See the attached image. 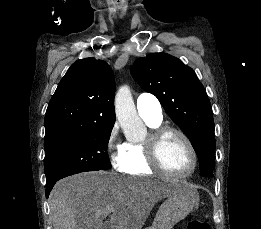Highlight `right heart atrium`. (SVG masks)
Masks as SVG:
<instances>
[{"instance_id": "1", "label": "right heart atrium", "mask_w": 261, "mask_h": 229, "mask_svg": "<svg viewBox=\"0 0 261 229\" xmlns=\"http://www.w3.org/2000/svg\"><path fill=\"white\" fill-rule=\"evenodd\" d=\"M118 125L114 124L110 129L107 140V151L112 167L119 172H123L127 168L128 158L125 150L124 142L118 137Z\"/></svg>"}]
</instances>
